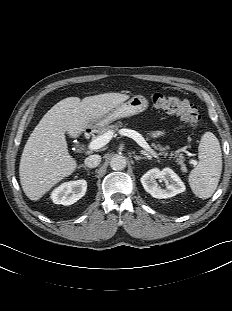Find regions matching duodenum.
Segmentation results:
<instances>
[{
  "instance_id": "1",
  "label": "duodenum",
  "mask_w": 232,
  "mask_h": 311,
  "mask_svg": "<svg viewBox=\"0 0 232 311\" xmlns=\"http://www.w3.org/2000/svg\"><path fill=\"white\" fill-rule=\"evenodd\" d=\"M91 136V130L85 129L83 132V138L88 139Z\"/></svg>"
}]
</instances>
